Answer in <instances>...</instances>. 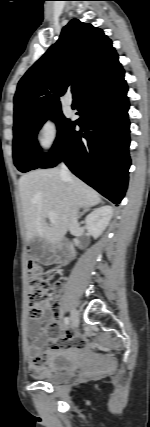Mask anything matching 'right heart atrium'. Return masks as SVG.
<instances>
[{
	"label": "right heart atrium",
	"instance_id": "d8ad5b80",
	"mask_svg": "<svg viewBox=\"0 0 150 427\" xmlns=\"http://www.w3.org/2000/svg\"><path fill=\"white\" fill-rule=\"evenodd\" d=\"M60 137L61 129L54 116H47L38 124L35 142L41 152H52L59 144Z\"/></svg>",
	"mask_w": 150,
	"mask_h": 427
}]
</instances>
